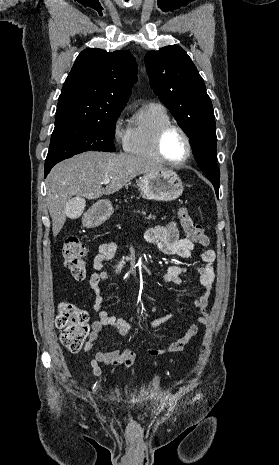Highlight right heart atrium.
<instances>
[{"mask_svg": "<svg viewBox=\"0 0 279 465\" xmlns=\"http://www.w3.org/2000/svg\"><path fill=\"white\" fill-rule=\"evenodd\" d=\"M113 137L114 139L121 143L125 144L128 137V130L123 126L122 113L118 115L113 125Z\"/></svg>", "mask_w": 279, "mask_h": 465, "instance_id": "d8ad5b80", "label": "right heart atrium"}]
</instances>
